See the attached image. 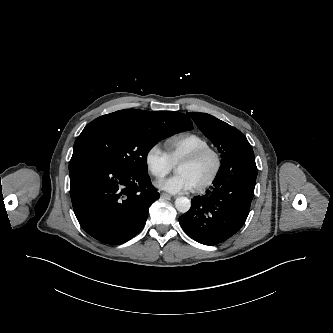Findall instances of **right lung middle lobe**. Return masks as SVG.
<instances>
[{"instance_id": "dd1d6c3e", "label": "right lung middle lobe", "mask_w": 333, "mask_h": 333, "mask_svg": "<svg viewBox=\"0 0 333 333\" xmlns=\"http://www.w3.org/2000/svg\"><path fill=\"white\" fill-rule=\"evenodd\" d=\"M183 130L181 125H148L104 115L84 128L74 143V151L87 150L130 173L147 174L149 150L159 140Z\"/></svg>"}]
</instances>
